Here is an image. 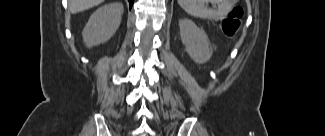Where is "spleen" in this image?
<instances>
[{"label":"spleen","mask_w":325,"mask_h":136,"mask_svg":"<svg viewBox=\"0 0 325 136\" xmlns=\"http://www.w3.org/2000/svg\"><path fill=\"white\" fill-rule=\"evenodd\" d=\"M204 0H179V5L191 16L199 17L203 19H210L214 21L222 20L228 11L225 3L222 1H216L218 9H208L205 6Z\"/></svg>","instance_id":"obj_1"}]
</instances>
